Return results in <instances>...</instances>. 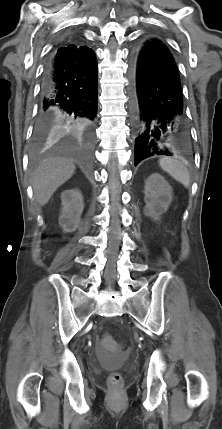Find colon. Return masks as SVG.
<instances>
[{"label":"colon","mask_w":222,"mask_h":429,"mask_svg":"<svg viewBox=\"0 0 222 429\" xmlns=\"http://www.w3.org/2000/svg\"><path fill=\"white\" fill-rule=\"evenodd\" d=\"M101 345L108 350L117 351L121 349L120 343L113 339V337L106 333L101 338ZM108 384L112 389H119L123 384V377L118 372H113L109 375Z\"/></svg>","instance_id":"1"}]
</instances>
